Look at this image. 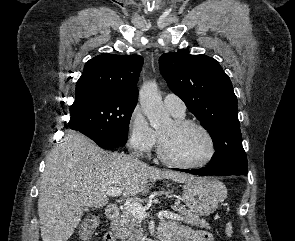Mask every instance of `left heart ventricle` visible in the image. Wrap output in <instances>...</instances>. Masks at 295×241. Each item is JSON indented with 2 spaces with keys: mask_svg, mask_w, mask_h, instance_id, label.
I'll return each mask as SVG.
<instances>
[{
  "mask_svg": "<svg viewBox=\"0 0 295 241\" xmlns=\"http://www.w3.org/2000/svg\"><path fill=\"white\" fill-rule=\"evenodd\" d=\"M167 154L183 163H196L206 158L209 143L204 134L194 127L177 128L172 122L159 131Z\"/></svg>",
  "mask_w": 295,
  "mask_h": 241,
  "instance_id": "left-heart-ventricle-1",
  "label": "left heart ventricle"
}]
</instances>
